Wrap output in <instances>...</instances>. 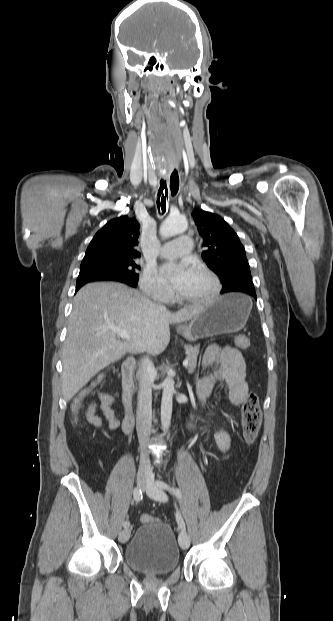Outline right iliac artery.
I'll list each match as a JSON object with an SVG mask.
<instances>
[{
	"label": "right iliac artery",
	"instance_id": "obj_1",
	"mask_svg": "<svg viewBox=\"0 0 333 621\" xmlns=\"http://www.w3.org/2000/svg\"><path fill=\"white\" fill-rule=\"evenodd\" d=\"M164 195H165V190H164ZM133 496H134V499H135L136 502L141 501L142 497H143L141 489L135 488L134 491H133ZM123 526H124V528H128L130 526L129 521H125L123 523Z\"/></svg>",
	"mask_w": 333,
	"mask_h": 621
}]
</instances>
